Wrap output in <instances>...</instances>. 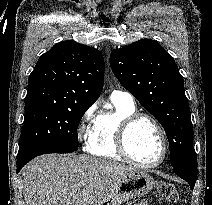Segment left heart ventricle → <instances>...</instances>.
<instances>
[{
	"label": "left heart ventricle",
	"mask_w": 212,
	"mask_h": 205,
	"mask_svg": "<svg viewBox=\"0 0 212 205\" xmlns=\"http://www.w3.org/2000/svg\"><path fill=\"white\" fill-rule=\"evenodd\" d=\"M127 147L130 154L141 162L156 161L162 151L161 140L153 124L146 120H138L129 130Z\"/></svg>",
	"instance_id": "1"
}]
</instances>
